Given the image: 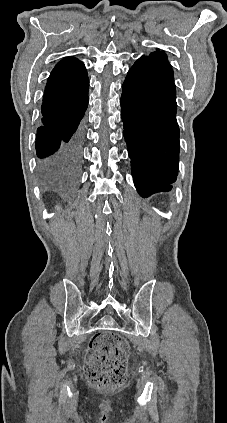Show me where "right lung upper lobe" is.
<instances>
[{
	"label": "right lung upper lobe",
	"instance_id": "obj_1",
	"mask_svg": "<svg viewBox=\"0 0 227 423\" xmlns=\"http://www.w3.org/2000/svg\"><path fill=\"white\" fill-rule=\"evenodd\" d=\"M89 80L84 64L75 57L61 60L51 72L46 97L68 98L88 92Z\"/></svg>",
	"mask_w": 227,
	"mask_h": 423
}]
</instances>
